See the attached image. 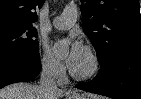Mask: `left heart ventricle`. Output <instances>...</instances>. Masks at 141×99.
<instances>
[{"instance_id":"1","label":"left heart ventricle","mask_w":141,"mask_h":99,"mask_svg":"<svg viewBox=\"0 0 141 99\" xmlns=\"http://www.w3.org/2000/svg\"><path fill=\"white\" fill-rule=\"evenodd\" d=\"M90 68V59L86 52L84 51L82 57L78 61V63L75 65L73 69H75L78 72H85Z\"/></svg>"}]
</instances>
